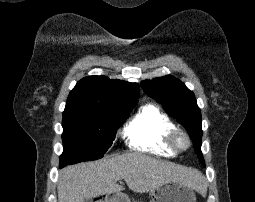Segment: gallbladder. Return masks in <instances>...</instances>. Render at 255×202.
I'll return each instance as SVG.
<instances>
[{
    "mask_svg": "<svg viewBox=\"0 0 255 202\" xmlns=\"http://www.w3.org/2000/svg\"><path fill=\"white\" fill-rule=\"evenodd\" d=\"M83 202H90V200H87V199H86V200H84Z\"/></svg>",
    "mask_w": 255,
    "mask_h": 202,
    "instance_id": "gallbladder-1",
    "label": "gallbladder"
}]
</instances>
